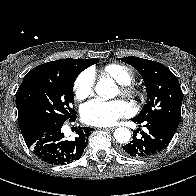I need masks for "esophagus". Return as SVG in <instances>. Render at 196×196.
<instances>
[{
  "label": "esophagus",
  "mask_w": 196,
  "mask_h": 196,
  "mask_svg": "<svg viewBox=\"0 0 196 196\" xmlns=\"http://www.w3.org/2000/svg\"><path fill=\"white\" fill-rule=\"evenodd\" d=\"M114 129H115V127L105 128V130H110V131H113Z\"/></svg>",
  "instance_id": "34e87169"
}]
</instances>
